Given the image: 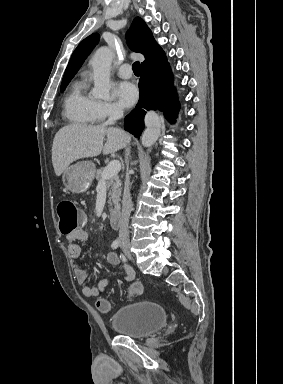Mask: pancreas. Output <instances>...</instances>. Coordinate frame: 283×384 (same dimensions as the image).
<instances>
[{
	"mask_svg": "<svg viewBox=\"0 0 283 384\" xmlns=\"http://www.w3.org/2000/svg\"><path fill=\"white\" fill-rule=\"evenodd\" d=\"M103 170L104 168H99V170H97L96 172V180H98V182H102L103 180L102 178ZM104 182L109 190L108 192L109 212H111V214H114V212H119L120 210L119 202H120V196H121V190H122L119 176H112L110 180H104Z\"/></svg>",
	"mask_w": 283,
	"mask_h": 384,
	"instance_id": "1",
	"label": "pancreas"
}]
</instances>
